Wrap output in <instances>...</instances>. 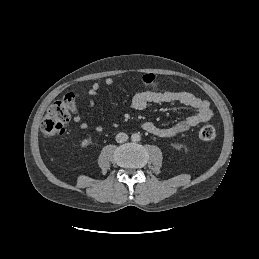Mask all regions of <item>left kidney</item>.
Returning a JSON list of instances; mask_svg holds the SVG:
<instances>
[{
  "instance_id": "5707ae66",
  "label": "left kidney",
  "mask_w": 259,
  "mask_h": 259,
  "mask_svg": "<svg viewBox=\"0 0 259 259\" xmlns=\"http://www.w3.org/2000/svg\"><path fill=\"white\" fill-rule=\"evenodd\" d=\"M175 147H176V149L181 150V148L183 147V145L177 143V144L175 145Z\"/></svg>"
}]
</instances>
